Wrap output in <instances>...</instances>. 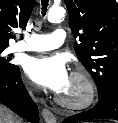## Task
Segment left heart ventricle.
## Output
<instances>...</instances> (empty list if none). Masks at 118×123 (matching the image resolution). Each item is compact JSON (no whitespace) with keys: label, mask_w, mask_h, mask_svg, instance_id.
Masks as SVG:
<instances>
[{"label":"left heart ventricle","mask_w":118,"mask_h":123,"mask_svg":"<svg viewBox=\"0 0 118 123\" xmlns=\"http://www.w3.org/2000/svg\"><path fill=\"white\" fill-rule=\"evenodd\" d=\"M83 94L84 87L82 83L72 80L71 78L67 87L62 92H60V95L72 101L79 100Z\"/></svg>","instance_id":"left-heart-ventricle-1"}]
</instances>
